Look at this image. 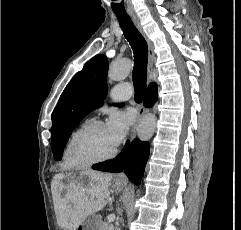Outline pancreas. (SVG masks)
<instances>
[{"instance_id": "pancreas-1", "label": "pancreas", "mask_w": 241, "mask_h": 230, "mask_svg": "<svg viewBox=\"0 0 241 230\" xmlns=\"http://www.w3.org/2000/svg\"><path fill=\"white\" fill-rule=\"evenodd\" d=\"M99 230H114V227L112 224L104 221L100 224Z\"/></svg>"}]
</instances>
